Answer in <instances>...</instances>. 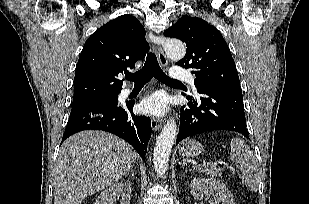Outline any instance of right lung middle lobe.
Returning a JSON list of instances; mask_svg holds the SVG:
<instances>
[{
    "label": "right lung middle lobe",
    "instance_id": "right-lung-middle-lobe-1",
    "mask_svg": "<svg viewBox=\"0 0 309 204\" xmlns=\"http://www.w3.org/2000/svg\"><path fill=\"white\" fill-rule=\"evenodd\" d=\"M118 94H112V95H108V96H104V97H100L79 105H73V107H78V106H82V105H87V104H93V103H113V102H118Z\"/></svg>",
    "mask_w": 309,
    "mask_h": 204
}]
</instances>
